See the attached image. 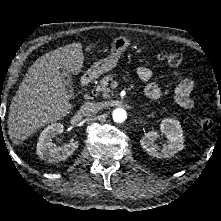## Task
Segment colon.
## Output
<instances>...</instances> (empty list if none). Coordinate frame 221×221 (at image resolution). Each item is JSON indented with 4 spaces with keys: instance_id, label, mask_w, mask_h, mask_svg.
I'll return each instance as SVG.
<instances>
[{
    "instance_id": "5ec220e1",
    "label": "colon",
    "mask_w": 221,
    "mask_h": 221,
    "mask_svg": "<svg viewBox=\"0 0 221 221\" xmlns=\"http://www.w3.org/2000/svg\"><path fill=\"white\" fill-rule=\"evenodd\" d=\"M157 59L173 67L181 65L183 62L182 55L173 52H160L157 55ZM199 126L204 130H209L212 128L213 122L209 118H201L199 120Z\"/></svg>"
}]
</instances>
